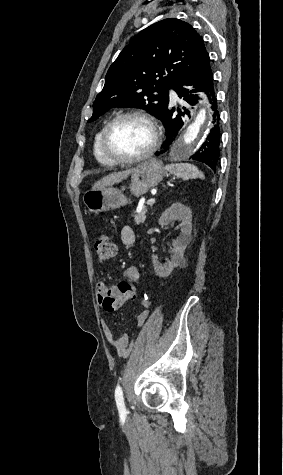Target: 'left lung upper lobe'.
I'll return each instance as SVG.
<instances>
[{"label": "left lung upper lobe", "instance_id": "obj_1", "mask_svg": "<svg viewBox=\"0 0 283 475\" xmlns=\"http://www.w3.org/2000/svg\"><path fill=\"white\" fill-rule=\"evenodd\" d=\"M209 59L202 37L187 22L159 21L138 33L110 66L93 103V122L110 108H142L160 118L168 90Z\"/></svg>", "mask_w": 283, "mask_h": 475}]
</instances>
